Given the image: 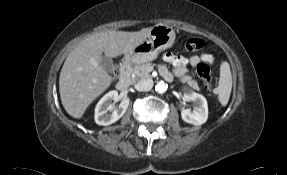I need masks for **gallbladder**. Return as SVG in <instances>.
Masks as SVG:
<instances>
[{
    "instance_id": "gallbladder-1",
    "label": "gallbladder",
    "mask_w": 287,
    "mask_h": 175,
    "mask_svg": "<svg viewBox=\"0 0 287 175\" xmlns=\"http://www.w3.org/2000/svg\"><path fill=\"white\" fill-rule=\"evenodd\" d=\"M100 65L106 70L110 71L113 67V61L111 58L107 57L106 55H103L101 57Z\"/></svg>"
}]
</instances>
